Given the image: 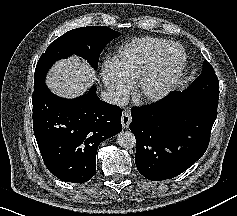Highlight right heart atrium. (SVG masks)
Masks as SVG:
<instances>
[{
    "mask_svg": "<svg viewBox=\"0 0 237 216\" xmlns=\"http://www.w3.org/2000/svg\"><path fill=\"white\" fill-rule=\"evenodd\" d=\"M100 77L105 87L114 98L120 99L128 94V86L117 79L105 65H102L100 69Z\"/></svg>",
    "mask_w": 237,
    "mask_h": 216,
    "instance_id": "d8ad5b80",
    "label": "right heart atrium"
}]
</instances>
